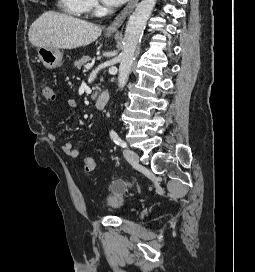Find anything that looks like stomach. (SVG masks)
<instances>
[{"instance_id": "obj_1", "label": "stomach", "mask_w": 255, "mask_h": 272, "mask_svg": "<svg viewBox=\"0 0 255 272\" xmlns=\"http://www.w3.org/2000/svg\"><path fill=\"white\" fill-rule=\"evenodd\" d=\"M110 36L111 34H106ZM38 58L48 69H55L62 65L63 54L58 48L40 47L38 50Z\"/></svg>"}]
</instances>
